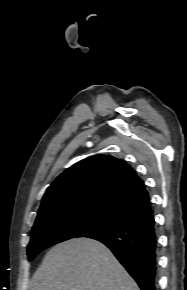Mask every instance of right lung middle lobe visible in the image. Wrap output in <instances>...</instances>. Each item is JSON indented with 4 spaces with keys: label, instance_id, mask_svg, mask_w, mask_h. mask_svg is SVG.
I'll return each instance as SVG.
<instances>
[{
    "label": "right lung middle lobe",
    "instance_id": "right-lung-middle-lobe-1",
    "mask_svg": "<svg viewBox=\"0 0 187 290\" xmlns=\"http://www.w3.org/2000/svg\"><path fill=\"white\" fill-rule=\"evenodd\" d=\"M128 220L111 208L81 206L61 210L36 219L27 248L29 261L40 251L68 239L87 237L115 228Z\"/></svg>",
    "mask_w": 187,
    "mask_h": 290
}]
</instances>
